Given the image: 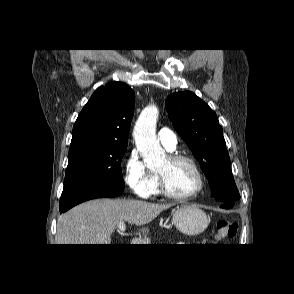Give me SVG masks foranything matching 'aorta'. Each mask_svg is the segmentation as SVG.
I'll return each mask as SVG.
<instances>
[{
	"label": "aorta",
	"instance_id": "obj_1",
	"mask_svg": "<svg viewBox=\"0 0 294 294\" xmlns=\"http://www.w3.org/2000/svg\"><path fill=\"white\" fill-rule=\"evenodd\" d=\"M157 119V107L149 105L141 112L133 131L137 149L149 169L160 167L166 157L156 137Z\"/></svg>",
	"mask_w": 294,
	"mask_h": 294
}]
</instances>
